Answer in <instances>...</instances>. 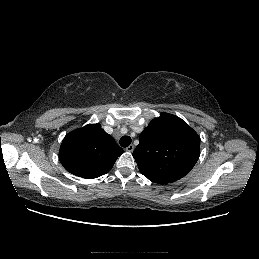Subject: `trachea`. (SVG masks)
Listing matches in <instances>:
<instances>
[{
    "instance_id": "trachea-1",
    "label": "trachea",
    "mask_w": 259,
    "mask_h": 259,
    "mask_svg": "<svg viewBox=\"0 0 259 259\" xmlns=\"http://www.w3.org/2000/svg\"><path fill=\"white\" fill-rule=\"evenodd\" d=\"M119 143L122 147H128L131 143V138L129 136H123L120 138Z\"/></svg>"
}]
</instances>
